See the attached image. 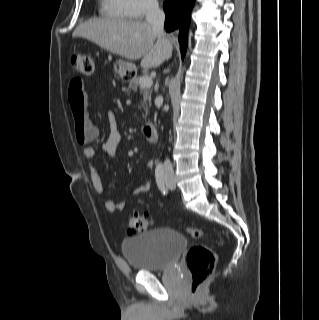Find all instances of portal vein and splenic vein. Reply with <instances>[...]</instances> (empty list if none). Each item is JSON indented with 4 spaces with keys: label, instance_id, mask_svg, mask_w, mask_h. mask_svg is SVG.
Returning <instances> with one entry per match:
<instances>
[{
    "label": "portal vein and splenic vein",
    "instance_id": "18ae733b",
    "mask_svg": "<svg viewBox=\"0 0 319 320\" xmlns=\"http://www.w3.org/2000/svg\"><path fill=\"white\" fill-rule=\"evenodd\" d=\"M140 87L142 88H149L151 87V85L153 84V80L152 77L149 76H143L140 79Z\"/></svg>",
    "mask_w": 319,
    "mask_h": 320
}]
</instances>
